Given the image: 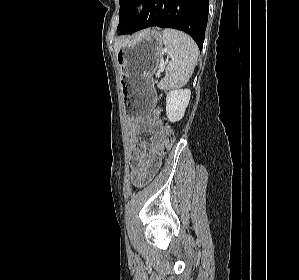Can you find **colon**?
Returning <instances> with one entry per match:
<instances>
[{"mask_svg":"<svg viewBox=\"0 0 299 280\" xmlns=\"http://www.w3.org/2000/svg\"><path fill=\"white\" fill-rule=\"evenodd\" d=\"M148 120L154 123L160 124L165 131V144L163 148V154L166 153L173 145L175 141V135L173 130L162 121L161 119V109L155 108L149 115Z\"/></svg>","mask_w":299,"mask_h":280,"instance_id":"obj_1","label":"colon"}]
</instances>
